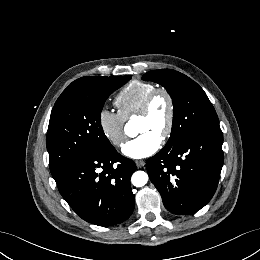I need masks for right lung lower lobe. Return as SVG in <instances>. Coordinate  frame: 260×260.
Wrapping results in <instances>:
<instances>
[{"mask_svg": "<svg viewBox=\"0 0 260 260\" xmlns=\"http://www.w3.org/2000/svg\"><path fill=\"white\" fill-rule=\"evenodd\" d=\"M136 165L115 148L66 162L52 174L62 197L85 221L111 226L127 220L134 209L130 186Z\"/></svg>", "mask_w": 260, "mask_h": 260, "instance_id": "right-lung-lower-lobe-1", "label": "right lung lower lobe"}]
</instances>
